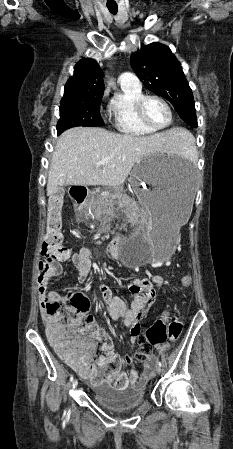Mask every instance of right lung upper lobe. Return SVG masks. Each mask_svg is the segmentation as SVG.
<instances>
[{
    "instance_id": "right-lung-upper-lobe-1",
    "label": "right lung upper lobe",
    "mask_w": 233,
    "mask_h": 449,
    "mask_svg": "<svg viewBox=\"0 0 233 449\" xmlns=\"http://www.w3.org/2000/svg\"><path fill=\"white\" fill-rule=\"evenodd\" d=\"M104 92L101 69L96 60L82 59L74 67V76L65 84L64 96H80Z\"/></svg>"
}]
</instances>
